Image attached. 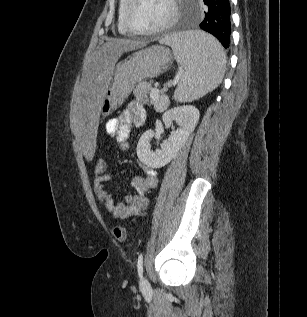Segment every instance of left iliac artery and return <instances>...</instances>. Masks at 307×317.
Listing matches in <instances>:
<instances>
[{"mask_svg":"<svg viewBox=\"0 0 307 317\" xmlns=\"http://www.w3.org/2000/svg\"><path fill=\"white\" fill-rule=\"evenodd\" d=\"M137 270H138L139 276L142 278V274H143V254L142 253H140L138 256Z\"/></svg>","mask_w":307,"mask_h":317,"instance_id":"left-iliac-artery-1","label":"left iliac artery"}]
</instances>
